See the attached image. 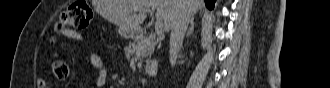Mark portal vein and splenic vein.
<instances>
[{
  "mask_svg": "<svg viewBox=\"0 0 330 88\" xmlns=\"http://www.w3.org/2000/svg\"><path fill=\"white\" fill-rule=\"evenodd\" d=\"M134 11H139V9H134ZM140 11L150 12L152 14V11L150 9H140ZM155 32L158 35H161L163 33V23H162V21H156V23H155Z\"/></svg>",
  "mask_w": 330,
  "mask_h": 88,
  "instance_id": "portal-vein-and-splenic-vein-1",
  "label": "portal vein and splenic vein"
}]
</instances>
